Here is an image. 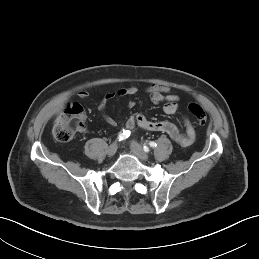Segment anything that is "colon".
Returning a JSON list of instances; mask_svg holds the SVG:
<instances>
[{
	"label": "colon",
	"instance_id": "1",
	"mask_svg": "<svg viewBox=\"0 0 259 259\" xmlns=\"http://www.w3.org/2000/svg\"><path fill=\"white\" fill-rule=\"evenodd\" d=\"M188 111L196 119L198 124H205L207 120L204 109L197 103H189ZM84 110L78 103H69L54 122L53 132L60 142H67L75 131L83 127Z\"/></svg>",
	"mask_w": 259,
	"mask_h": 259
}]
</instances>
